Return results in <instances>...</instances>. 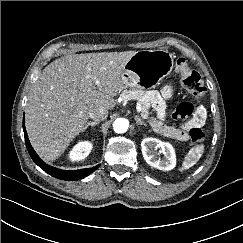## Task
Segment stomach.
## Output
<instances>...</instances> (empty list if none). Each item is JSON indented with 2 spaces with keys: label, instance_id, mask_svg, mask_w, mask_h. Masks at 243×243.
Wrapping results in <instances>:
<instances>
[{
  "label": "stomach",
  "instance_id": "0dacf381",
  "mask_svg": "<svg viewBox=\"0 0 243 243\" xmlns=\"http://www.w3.org/2000/svg\"><path fill=\"white\" fill-rule=\"evenodd\" d=\"M173 68L172 54L165 50H141L126 62L121 75L123 87H154Z\"/></svg>",
  "mask_w": 243,
  "mask_h": 243
}]
</instances>
